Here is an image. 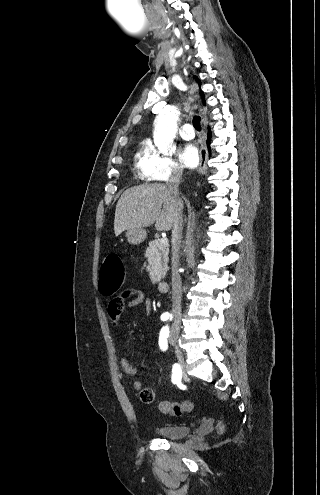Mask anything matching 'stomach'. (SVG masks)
Here are the masks:
<instances>
[{
	"label": "stomach",
	"mask_w": 320,
	"mask_h": 495,
	"mask_svg": "<svg viewBox=\"0 0 320 495\" xmlns=\"http://www.w3.org/2000/svg\"><path fill=\"white\" fill-rule=\"evenodd\" d=\"M146 231L142 228H131L126 231V237L130 244H140L146 239Z\"/></svg>",
	"instance_id": "1"
}]
</instances>
